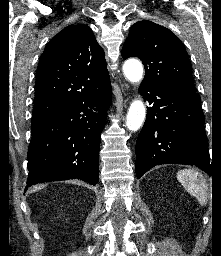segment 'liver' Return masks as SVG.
Here are the masks:
<instances>
[{
	"instance_id": "6515ba94",
	"label": "liver",
	"mask_w": 221,
	"mask_h": 256,
	"mask_svg": "<svg viewBox=\"0 0 221 256\" xmlns=\"http://www.w3.org/2000/svg\"><path fill=\"white\" fill-rule=\"evenodd\" d=\"M39 189H40V187H35V188L31 189V192H35V191H37Z\"/></svg>"
}]
</instances>
